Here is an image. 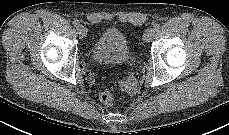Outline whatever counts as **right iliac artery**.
Masks as SVG:
<instances>
[{
	"label": "right iliac artery",
	"mask_w": 229,
	"mask_h": 135,
	"mask_svg": "<svg viewBox=\"0 0 229 135\" xmlns=\"http://www.w3.org/2000/svg\"><path fill=\"white\" fill-rule=\"evenodd\" d=\"M73 25L78 28L80 26V22L78 20H74Z\"/></svg>",
	"instance_id": "1"
}]
</instances>
